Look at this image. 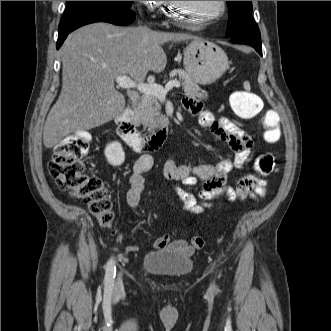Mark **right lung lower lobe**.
<instances>
[{
    "label": "right lung lower lobe",
    "instance_id": "98d812e1",
    "mask_svg": "<svg viewBox=\"0 0 331 331\" xmlns=\"http://www.w3.org/2000/svg\"><path fill=\"white\" fill-rule=\"evenodd\" d=\"M135 19V13L131 10L113 11L103 14H97L91 17L81 19L68 26L59 29L57 49L63 44L67 35L75 29L94 22H107L114 25L125 26L132 23Z\"/></svg>",
    "mask_w": 331,
    "mask_h": 331
}]
</instances>
